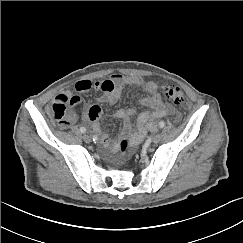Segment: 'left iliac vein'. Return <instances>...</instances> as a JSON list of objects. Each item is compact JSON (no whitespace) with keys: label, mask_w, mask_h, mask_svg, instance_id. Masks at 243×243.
<instances>
[{"label":"left iliac vein","mask_w":243,"mask_h":243,"mask_svg":"<svg viewBox=\"0 0 243 243\" xmlns=\"http://www.w3.org/2000/svg\"><path fill=\"white\" fill-rule=\"evenodd\" d=\"M160 138H161V137H160L159 134L154 135V136L152 137V143H154V144L159 143Z\"/></svg>","instance_id":"obj_1"}]
</instances>
